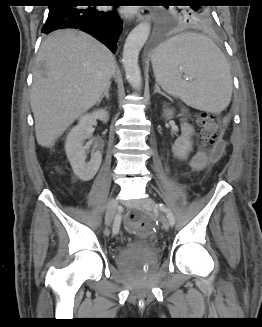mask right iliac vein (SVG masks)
I'll use <instances>...</instances> for the list:
<instances>
[{"label": "right iliac vein", "instance_id": "obj_1", "mask_svg": "<svg viewBox=\"0 0 262 327\" xmlns=\"http://www.w3.org/2000/svg\"><path fill=\"white\" fill-rule=\"evenodd\" d=\"M117 207H118L117 200L115 198H112L108 203L106 213H105L106 226H109L112 223V221L115 217L116 211H117Z\"/></svg>", "mask_w": 262, "mask_h": 327}]
</instances>
